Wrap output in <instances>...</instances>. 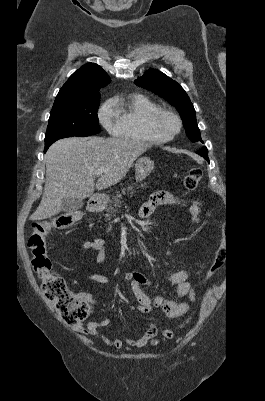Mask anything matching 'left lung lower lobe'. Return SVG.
Segmentation results:
<instances>
[{
  "label": "left lung lower lobe",
  "mask_w": 265,
  "mask_h": 401,
  "mask_svg": "<svg viewBox=\"0 0 265 401\" xmlns=\"http://www.w3.org/2000/svg\"><path fill=\"white\" fill-rule=\"evenodd\" d=\"M199 155L204 157L208 161V150L206 147L202 148L200 151L197 152Z\"/></svg>",
  "instance_id": "left-lung-lower-lobe-1"
}]
</instances>
